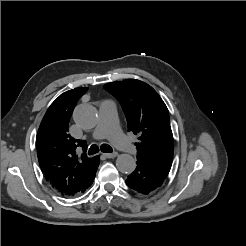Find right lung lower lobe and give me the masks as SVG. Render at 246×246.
<instances>
[{
  "label": "right lung lower lobe",
  "mask_w": 246,
  "mask_h": 246,
  "mask_svg": "<svg viewBox=\"0 0 246 246\" xmlns=\"http://www.w3.org/2000/svg\"><path fill=\"white\" fill-rule=\"evenodd\" d=\"M98 165H99V157L97 156V167H96V170L98 168ZM95 174H96V171H95L94 175L90 178L89 182L86 184V186L82 189V191L80 193H83L88 187L91 186V184L93 183V180L95 178Z\"/></svg>",
  "instance_id": "1"
}]
</instances>
